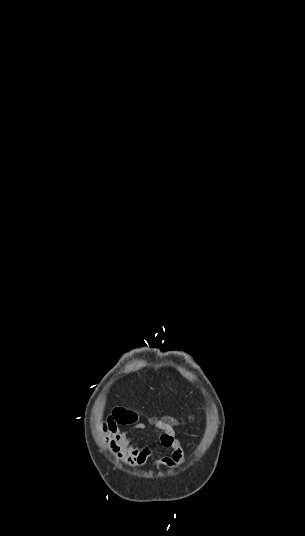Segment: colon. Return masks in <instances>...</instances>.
<instances>
[{
  "mask_svg": "<svg viewBox=\"0 0 305 536\" xmlns=\"http://www.w3.org/2000/svg\"><path fill=\"white\" fill-rule=\"evenodd\" d=\"M113 415L116 416V424H121V426H130L139 420L138 411H127L119 410L114 411ZM163 421L167 423H173L174 420L170 417H164Z\"/></svg>",
  "mask_w": 305,
  "mask_h": 536,
  "instance_id": "obj_1",
  "label": "colon"
}]
</instances>
